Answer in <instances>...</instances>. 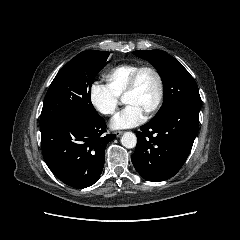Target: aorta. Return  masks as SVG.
Masks as SVG:
<instances>
[{
  "label": "aorta",
  "mask_w": 240,
  "mask_h": 240,
  "mask_svg": "<svg viewBox=\"0 0 240 240\" xmlns=\"http://www.w3.org/2000/svg\"><path fill=\"white\" fill-rule=\"evenodd\" d=\"M136 143L137 137L132 132H125L121 137V144L128 149L134 148Z\"/></svg>",
  "instance_id": "1"
}]
</instances>
